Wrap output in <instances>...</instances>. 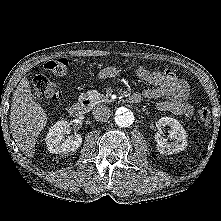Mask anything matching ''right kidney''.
<instances>
[{"mask_svg": "<svg viewBox=\"0 0 221 221\" xmlns=\"http://www.w3.org/2000/svg\"><path fill=\"white\" fill-rule=\"evenodd\" d=\"M70 123L66 120L56 122L47 133L46 145L50 153H70L77 150L82 144V137L79 134L65 137V132Z\"/></svg>", "mask_w": 221, "mask_h": 221, "instance_id": "1", "label": "right kidney"}]
</instances>
